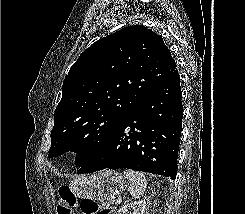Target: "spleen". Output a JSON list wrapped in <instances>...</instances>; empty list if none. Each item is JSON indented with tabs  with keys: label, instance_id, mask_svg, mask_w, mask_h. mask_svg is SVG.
I'll return each mask as SVG.
<instances>
[{
	"label": "spleen",
	"instance_id": "1",
	"mask_svg": "<svg viewBox=\"0 0 245 214\" xmlns=\"http://www.w3.org/2000/svg\"><path fill=\"white\" fill-rule=\"evenodd\" d=\"M124 176L130 181L129 191L134 198H140L146 189L147 179L145 175L138 171L126 170Z\"/></svg>",
	"mask_w": 245,
	"mask_h": 214
}]
</instances>
